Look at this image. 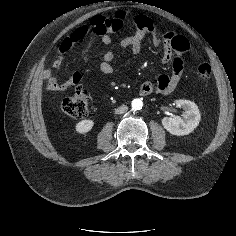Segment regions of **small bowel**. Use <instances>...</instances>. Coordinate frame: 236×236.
Here are the masks:
<instances>
[{
    "label": "small bowel",
    "mask_w": 236,
    "mask_h": 236,
    "mask_svg": "<svg viewBox=\"0 0 236 236\" xmlns=\"http://www.w3.org/2000/svg\"><path fill=\"white\" fill-rule=\"evenodd\" d=\"M94 32L99 36L103 44L110 46V48L103 54V59L99 67L103 73L111 74L114 71L112 61L115 57L116 45L112 42L110 31H102L100 27H97ZM146 35H150L154 46H161L163 48L161 61L164 64L171 63L172 73L170 75L159 76L156 85L150 82H144L140 86V94L147 96L155 91L162 95L170 94L174 91L182 78L184 71V61L182 56L189 51V42L184 36L178 35L174 32H166L163 34L157 33L151 19L145 17L144 20L136 23V31L133 34L121 39L120 46L122 48H129L132 53L138 54L142 49L143 40ZM73 37L74 36L71 35L63 40L59 47L58 54L52 63V69H46L43 73L46 88L51 92L66 90L80 82L81 77L77 72L73 73L69 79L64 82L59 81L54 76V71H58L62 68L64 54L82 38L81 37L75 41Z\"/></svg>",
    "instance_id": "small-bowel-1"
}]
</instances>
